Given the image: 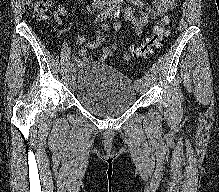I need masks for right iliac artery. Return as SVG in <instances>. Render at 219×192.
Here are the masks:
<instances>
[{"mask_svg":"<svg viewBox=\"0 0 219 192\" xmlns=\"http://www.w3.org/2000/svg\"><path fill=\"white\" fill-rule=\"evenodd\" d=\"M115 9L114 4H108L105 9L95 18L94 23L102 22L104 19L107 18L108 15ZM75 68V63H71L70 69L73 70Z\"/></svg>","mask_w":219,"mask_h":192,"instance_id":"1","label":"right iliac artery"}]
</instances>
